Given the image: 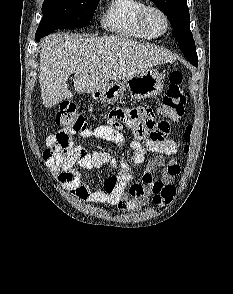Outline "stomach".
Wrapping results in <instances>:
<instances>
[{"mask_svg":"<svg viewBox=\"0 0 233 294\" xmlns=\"http://www.w3.org/2000/svg\"><path fill=\"white\" fill-rule=\"evenodd\" d=\"M163 80L162 73L155 69H148L129 79L111 82L101 90L92 93V97L106 103L121 99L125 93L136 100L155 97L163 90Z\"/></svg>","mask_w":233,"mask_h":294,"instance_id":"obj_1","label":"stomach"}]
</instances>
